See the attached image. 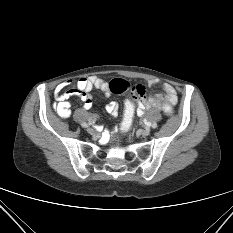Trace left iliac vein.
<instances>
[{
    "label": "left iliac vein",
    "mask_w": 233,
    "mask_h": 233,
    "mask_svg": "<svg viewBox=\"0 0 233 233\" xmlns=\"http://www.w3.org/2000/svg\"><path fill=\"white\" fill-rule=\"evenodd\" d=\"M150 134V129L149 128H145L140 130V135L142 136H148Z\"/></svg>",
    "instance_id": "4c4485c4"
}]
</instances>
